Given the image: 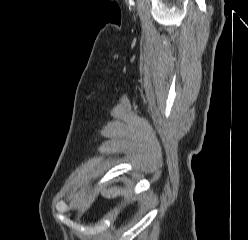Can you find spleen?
<instances>
[{
  "instance_id": "spleen-1",
  "label": "spleen",
  "mask_w": 248,
  "mask_h": 240,
  "mask_svg": "<svg viewBox=\"0 0 248 240\" xmlns=\"http://www.w3.org/2000/svg\"><path fill=\"white\" fill-rule=\"evenodd\" d=\"M122 194H125V191H122V189L119 187H112L103 193L104 197H106L108 199L115 198V197L120 196Z\"/></svg>"
}]
</instances>
